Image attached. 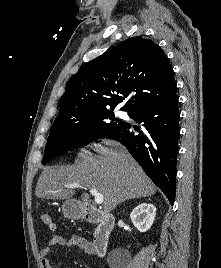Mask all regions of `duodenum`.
<instances>
[{
	"label": "duodenum",
	"instance_id": "410a0bca",
	"mask_svg": "<svg viewBox=\"0 0 221 268\" xmlns=\"http://www.w3.org/2000/svg\"><path fill=\"white\" fill-rule=\"evenodd\" d=\"M81 217L88 222L97 224L93 248L97 256H103L107 250L110 234L115 225L114 217L89 205L82 208Z\"/></svg>",
	"mask_w": 221,
	"mask_h": 268
}]
</instances>
